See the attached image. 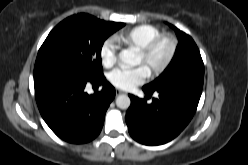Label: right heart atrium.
Instances as JSON below:
<instances>
[{
  "mask_svg": "<svg viewBox=\"0 0 248 165\" xmlns=\"http://www.w3.org/2000/svg\"><path fill=\"white\" fill-rule=\"evenodd\" d=\"M117 44L114 39L105 40L100 47V60L102 65L109 69L117 63Z\"/></svg>",
  "mask_w": 248,
  "mask_h": 165,
  "instance_id": "right-heart-atrium-1",
  "label": "right heart atrium"
}]
</instances>
